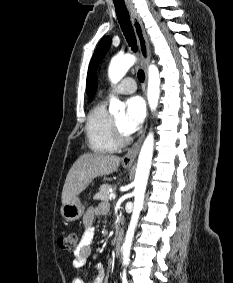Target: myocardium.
<instances>
[{
	"label": "myocardium",
	"mask_w": 233,
	"mask_h": 283,
	"mask_svg": "<svg viewBox=\"0 0 233 283\" xmlns=\"http://www.w3.org/2000/svg\"><path fill=\"white\" fill-rule=\"evenodd\" d=\"M112 130H113L114 140L118 146H123L130 141L129 134L124 133L121 130L115 118H112Z\"/></svg>",
	"instance_id": "1"
}]
</instances>
